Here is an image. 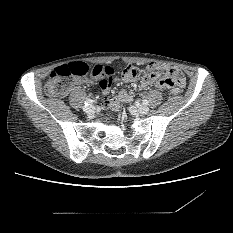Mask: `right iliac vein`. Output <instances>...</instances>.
Returning <instances> with one entry per match:
<instances>
[{"mask_svg": "<svg viewBox=\"0 0 233 233\" xmlns=\"http://www.w3.org/2000/svg\"><path fill=\"white\" fill-rule=\"evenodd\" d=\"M84 112L88 115H91L95 112V107L94 106H86L83 108Z\"/></svg>", "mask_w": 233, "mask_h": 233, "instance_id": "63e3f726", "label": "right iliac vein"}]
</instances>
